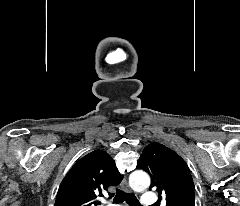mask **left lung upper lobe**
<instances>
[{"label": "left lung upper lobe", "mask_w": 240, "mask_h": 206, "mask_svg": "<svg viewBox=\"0 0 240 206\" xmlns=\"http://www.w3.org/2000/svg\"><path fill=\"white\" fill-rule=\"evenodd\" d=\"M137 169L151 176L155 188L166 206H195L194 183L184 160L160 143L147 145L137 161Z\"/></svg>", "instance_id": "1"}]
</instances>
